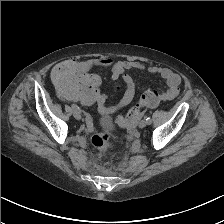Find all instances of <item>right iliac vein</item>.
<instances>
[{
    "mask_svg": "<svg viewBox=\"0 0 224 224\" xmlns=\"http://www.w3.org/2000/svg\"><path fill=\"white\" fill-rule=\"evenodd\" d=\"M73 116L75 119L80 120L81 119V113L79 111H74Z\"/></svg>",
    "mask_w": 224,
    "mask_h": 224,
    "instance_id": "right-iliac-vein-1",
    "label": "right iliac vein"
}]
</instances>
